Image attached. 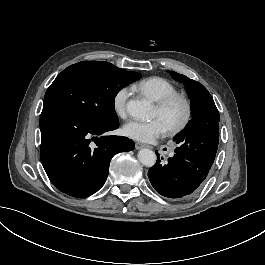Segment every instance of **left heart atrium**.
<instances>
[{
  "mask_svg": "<svg viewBox=\"0 0 265 265\" xmlns=\"http://www.w3.org/2000/svg\"><path fill=\"white\" fill-rule=\"evenodd\" d=\"M166 132V126L161 119L155 118L150 121L133 119L123 127V133L139 142H150Z\"/></svg>",
  "mask_w": 265,
  "mask_h": 265,
  "instance_id": "1",
  "label": "left heart atrium"
}]
</instances>
